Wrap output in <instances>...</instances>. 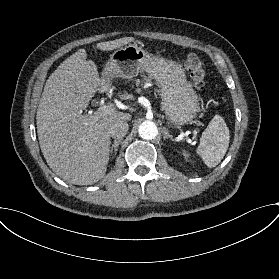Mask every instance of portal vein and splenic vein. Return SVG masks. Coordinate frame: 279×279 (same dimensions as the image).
<instances>
[{
    "instance_id": "portal-vein-and-splenic-vein-1",
    "label": "portal vein and splenic vein",
    "mask_w": 279,
    "mask_h": 279,
    "mask_svg": "<svg viewBox=\"0 0 279 279\" xmlns=\"http://www.w3.org/2000/svg\"><path fill=\"white\" fill-rule=\"evenodd\" d=\"M118 107L122 110L126 109L125 105H123V104H121V106H118ZM110 112H111V109H109L105 105H102V106L99 107V109L96 113L99 117H102L103 115H107Z\"/></svg>"
}]
</instances>
